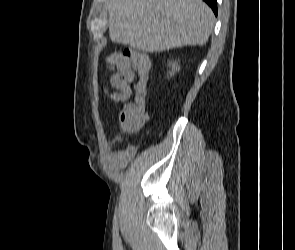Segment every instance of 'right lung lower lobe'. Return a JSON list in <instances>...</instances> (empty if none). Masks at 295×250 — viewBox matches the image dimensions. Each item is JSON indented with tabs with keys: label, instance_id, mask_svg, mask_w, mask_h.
<instances>
[{
	"label": "right lung lower lobe",
	"instance_id": "98d812e1",
	"mask_svg": "<svg viewBox=\"0 0 295 250\" xmlns=\"http://www.w3.org/2000/svg\"><path fill=\"white\" fill-rule=\"evenodd\" d=\"M205 1L214 11L215 15H217V0H203Z\"/></svg>",
	"mask_w": 295,
	"mask_h": 250
}]
</instances>
